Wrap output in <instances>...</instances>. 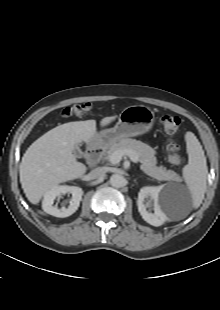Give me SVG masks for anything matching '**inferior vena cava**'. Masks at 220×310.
I'll return each mask as SVG.
<instances>
[{
    "instance_id": "inferior-vena-cava-1",
    "label": "inferior vena cava",
    "mask_w": 220,
    "mask_h": 310,
    "mask_svg": "<svg viewBox=\"0 0 220 310\" xmlns=\"http://www.w3.org/2000/svg\"><path fill=\"white\" fill-rule=\"evenodd\" d=\"M105 173H106V169L104 167H98L89 173V177L91 179H97V178L102 177Z\"/></svg>"
}]
</instances>
